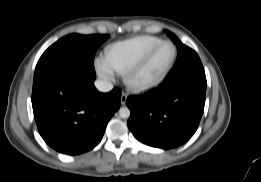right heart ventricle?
<instances>
[{
	"label": "right heart ventricle",
	"mask_w": 261,
	"mask_h": 182,
	"mask_svg": "<svg viewBox=\"0 0 261 182\" xmlns=\"http://www.w3.org/2000/svg\"><path fill=\"white\" fill-rule=\"evenodd\" d=\"M162 40L154 36H136L110 45L106 50V59L117 73H125L149 49Z\"/></svg>",
	"instance_id": "e07e8e85"
}]
</instances>
